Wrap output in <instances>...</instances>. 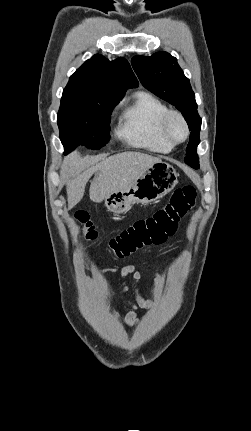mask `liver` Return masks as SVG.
Returning a JSON list of instances; mask_svg holds the SVG:
<instances>
[{"label": "liver", "mask_w": 251, "mask_h": 431, "mask_svg": "<svg viewBox=\"0 0 251 431\" xmlns=\"http://www.w3.org/2000/svg\"><path fill=\"white\" fill-rule=\"evenodd\" d=\"M159 158L141 152H123L110 157L82 158L75 152L64 158L61 176L67 181L68 209L76 206L84 196L88 180L89 196L94 202H102L111 193L126 190Z\"/></svg>", "instance_id": "obj_1"}]
</instances>
